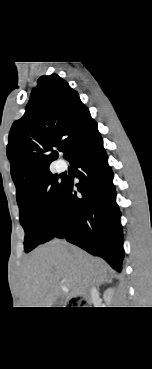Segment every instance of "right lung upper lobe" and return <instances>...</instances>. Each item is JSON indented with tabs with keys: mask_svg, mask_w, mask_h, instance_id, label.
Here are the masks:
<instances>
[{
	"mask_svg": "<svg viewBox=\"0 0 152 369\" xmlns=\"http://www.w3.org/2000/svg\"><path fill=\"white\" fill-rule=\"evenodd\" d=\"M96 129L88 108L65 80L57 74L40 77L23 117L9 133L7 156L17 198L50 172L49 165L57 158L54 148L64 146L68 160Z\"/></svg>",
	"mask_w": 152,
	"mask_h": 369,
	"instance_id": "obj_1",
	"label": "right lung upper lobe"
}]
</instances>
